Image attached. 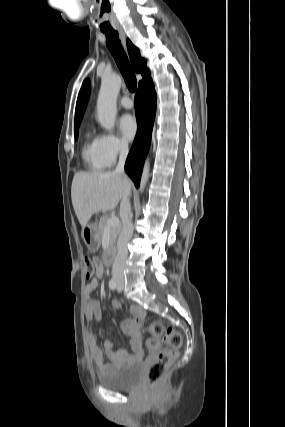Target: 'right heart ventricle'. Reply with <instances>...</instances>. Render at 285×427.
<instances>
[{
	"mask_svg": "<svg viewBox=\"0 0 285 427\" xmlns=\"http://www.w3.org/2000/svg\"><path fill=\"white\" fill-rule=\"evenodd\" d=\"M82 159L85 166L92 171H100L109 166L101 151L99 137L95 136L91 131H87L85 134Z\"/></svg>",
	"mask_w": 285,
	"mask_h": 427,
	"instance_id": "obj_1",
	"label": "right heart ventricle"
}]
</instances>
